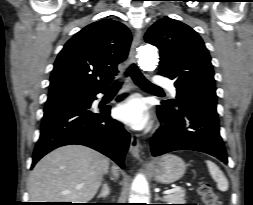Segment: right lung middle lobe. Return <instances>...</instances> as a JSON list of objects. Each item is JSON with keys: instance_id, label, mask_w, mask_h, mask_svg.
<instances>
[{"instance_id": "1", "label": "right lung middle lobe", "mask_w": 253, "mask_h": 205, "mask_svg": "<svg viewBox=\"0 0 253 205\" xmlns=\"http://www.w3.org/2000/svg\"><path fill=\"white\" fill-rule=\"evenodd\" d=\"M85 100H86V97H76V98L62 99V100L47 102L45 107L51 106V105L66 104V103H80V102H83Z\"/></svg>"}]
</instances>
